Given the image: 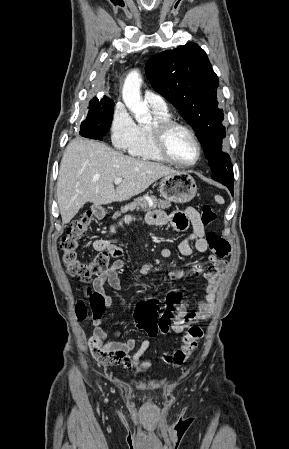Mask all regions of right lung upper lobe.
I'll list each match as a JSON object with an SVG mask.
<instances>
[{
	"label": "right lung upper lobe",
	"instance_id": "obj_1",
	"mask_svg": "<svg viewBox=\"0 0 289 449\" xmlns=\"http://www.w3.org/2000/svg\"><path fill=\"white\" fill-rule=\"evenodd\" d=\"M102 99H104V100H111L110 98H108L106 96H104Z\"/></svg>",
	"mask_w": 289,
	"mask_h": 449
}]
</instances>
